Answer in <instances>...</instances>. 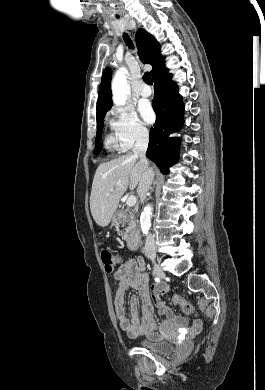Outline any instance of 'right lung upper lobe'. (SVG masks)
<instances>
[{"mask_svg": "<svg viewBox=\"0 0 265 390\" xmlns=\"http://www.w3.org/2000/svg\"><path fill=\"white\" fill-rule=\"evenodd\" d=\"M136 45L139 50L140 59L144 63L152 65L153 69L151 70V75L155 78L166 68L164 66L165 57L160 54V44L147 31L139 29L136 33ZM111 74L110 68H106L103 71L97 100V119L102 115H105L113 105L111 99Z\"/></svg>", "mask_w": 265, "mask_h": 390, "instance_id": "right-lung-upper-lobe-1", "label": "right lung upper lobe"}]
</instances>
